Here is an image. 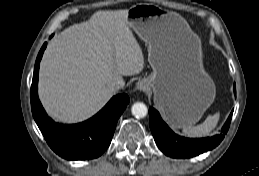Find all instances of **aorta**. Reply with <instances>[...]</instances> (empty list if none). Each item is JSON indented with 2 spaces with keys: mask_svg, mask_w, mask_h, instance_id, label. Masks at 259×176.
<instances>
[{
  "mask_svg": "<svg viewBox=\"0 0 259 176\" xmlns=\"http://www.w3.org/2000/svg\"><path fill=\"white\" fill-rule=\"evenodd\" d=\"M131 112L136 118H144L148 113V109L144 103L136 102L132 105Z\"/></svg>",
  "mask_w": 259,
  "mask_h": 176,
  "instance_id": "1",
  "label": "aorta"
}]
</instances>
